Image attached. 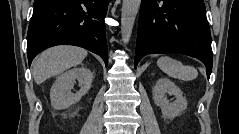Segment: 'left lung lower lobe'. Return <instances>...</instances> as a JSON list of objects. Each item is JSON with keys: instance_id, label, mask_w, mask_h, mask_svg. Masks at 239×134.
Here are the masks:
<instances>
[{"instance_id": "0a47b994", "label": "left lung lower lobe", "mask_w": 239, "mask_h": 134, "mask_svg": "<svg viewBox=\"0 0 239 134\" xmlns=\"http://www.w3.org/2000/svg\"><path fill=\"white\" fill-rule=\"evenodd\" d=\"M180 53L212 72L210 28L203 0H142L134 66L147 54Z\"/></svg>"}]
</instances>
